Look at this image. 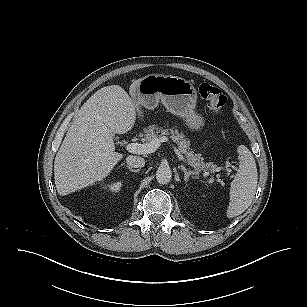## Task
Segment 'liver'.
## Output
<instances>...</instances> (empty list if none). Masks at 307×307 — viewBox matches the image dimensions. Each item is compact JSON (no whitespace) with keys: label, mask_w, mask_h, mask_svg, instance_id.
Segmentation results:
<instances>
[{"label":"liver","mask_w":307,"mask_h":307,"mask_svg":"<svg viewBox=\"0 0 307 307\" xmlns=\"http://www.w3.org/2000/svg\"><path fill=\"white\" fill-rule=\"evenodd\" d=\"M140 79L129 94L118 86L99 89L80 108L54 161L59 195H67L103 180L123 158L115 152L114 134H125L135 123Z\"/></svg>","instance_id":"1"}]
</instances>
